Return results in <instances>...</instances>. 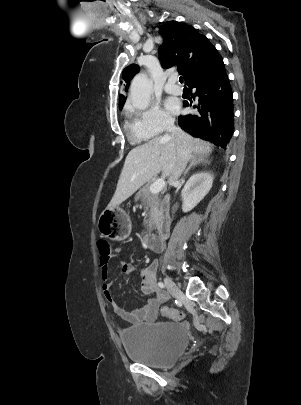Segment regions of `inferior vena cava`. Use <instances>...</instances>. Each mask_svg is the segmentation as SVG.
Listing matches in <instances>:
<instances>
[{"mask_svg":"<svg viewBox=\"0 0 301 405\" xmlns=\"http://www.w3.org/2000/svg\"><path fill=\"white\" fill-rule=\"evenodd\" d=\"M166 132L174 136L177 141V158L168 179V184L171 186L178 181L184 171L190 158V150L185 141L184 132L174 125V119L167 120Z\"/></svg>","mask_w":301,"mask_h":405,"instance_id":"602c4592","label":"inferior vena cava"}]
</instances>
